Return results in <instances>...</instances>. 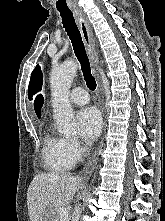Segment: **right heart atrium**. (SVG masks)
Returning <instances> with one entry per match:
<instances>
[{"label": "right heart atrium", "instance_id": "right-heart-atrium-1", "mask_svg": "<svg viewBox=\"0 0 165 221\" xmlns=\"http://www.w3.org/2000/svg\"><path fill=\"white\" fill-rule=\"evenodd\" d=\"M66 148H67V151L75 158H78L82 152V147H81L80 142L74 138L66 139Z\"/></svg>", "mask_w": 165, "mask_h": 221}]
</instances>
